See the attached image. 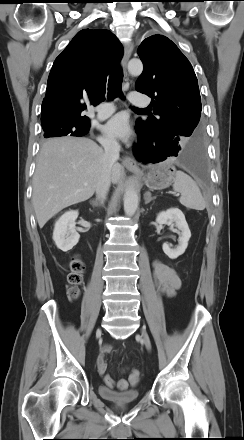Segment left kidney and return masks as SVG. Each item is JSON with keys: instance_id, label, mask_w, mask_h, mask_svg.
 <instances>
[{"instance_id": "obj_1", "label": "left kidney", "mask_w": 244, "mask_h": 440, "mask_svg": "<svg viewBox=\"0 0 244 440\" xmlns=\"http://www.w3.org/2000/svg\"><path fill=\"white\" fill-rule=\"evenodd\" d=\"M156 222L161 225L175 224V226L181 231V236L179 237V245L176 248H170L167 243H164L162 246L164 253L169 258L176 259L185 252L188 246V241L191 237V232L184 214L178 208H171L167 211L159 213L156 218Z\"/></svg>"}]
</instances>
